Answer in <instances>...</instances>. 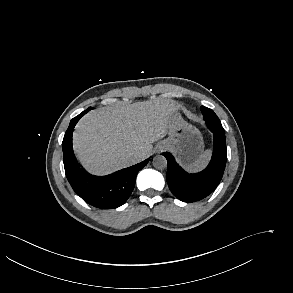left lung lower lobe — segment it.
I'll return each mask as SVG.
<instances>
[{"label": "left lung lower lobe", "mask_w": 293, "mask_h": 293, "mask_svg": "<svg viewBox=\"0 0 293 293\" xmlns=\"http://www.w3.org/2000/svg\"><path fill=\"white\" fill-rule=\"evenodd\" d=\"M213 132V154L209 165L201 172L186 173L174 160V157L164 152L166 157V180L171 192L183 202H195L211 194L220 183L227 159L224 128L206 123Z\"/></svg>", "instance_id": "obj_1"}]
</instances>
